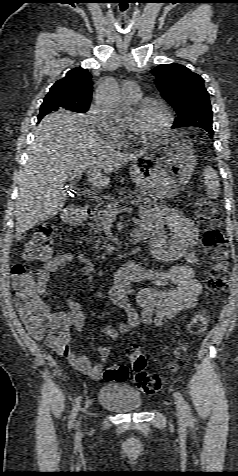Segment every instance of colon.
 I'll return each mask as SVG.
<instances>
[{"label":"colon","instance_id":"1","mask_svg":"<svg viewBox=\"0 0 238 476\" xmlns=\"http://www.w3.org/2000/svg\"><path fill=\"white\" fill-rule=\"evenodd\" d=\"M196 218L204 227L201 246L209 260L211 269L207 278V288L211 293L224 291L228 286L227 263L229 248L226 238L219 228L221 213L217 207L207 199H201L196 205ZM55 229L52 226H41L28 240L23 256L27 261H47L53 253V237ZM14 301L19 314L35 337H43L46 333L47 311L39 298L36 283L31 272L22 264L12 268ZM208 315L205 312L195 314L189 323V330L193 334H201L207 330ZM67 336L66 330L52 331L47 334V343L56 348ZM185 349L179 350V356H184ZM126 354L131 369L136 373V387L146 394L158 392L162 387L160 376L147 372V360L139 346L130 344L126 347ZM128 377V368L121 364H110L105 368L104 378L107 381H124Z\"/></svg>","mask_w":238,"mask_h":476}]
</instances>
